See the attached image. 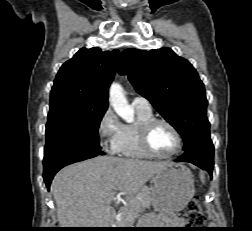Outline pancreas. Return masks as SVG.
<instances>
[{"label": "pancreas", "mask_w": 252, "mask_h": 231, "mask_svg": "<svg viewBox=\"0 0 252 231\" xmlns=\"http://www.w3.org/2000/svg\"><path fill=\"white\" fill-rule=\"evenodd\" d=\"M128 202L129 210H131L134 206L149 207L152 202L151 192L148 188H143L135 196L131 197ZM118 224L120 226H126L129 224V211L120 216V221Z\"/></svg>", "instance_id": "obj_1"}]
</instances>
